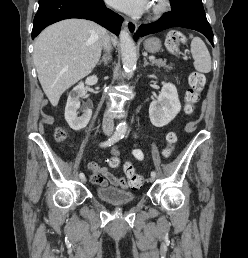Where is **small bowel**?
<instances>
[{
  "mask_svg": "<svg viewBox=\"0 0 248 258\" xmlns=\"http://www.w3.org/2000/svg\"><path fill=\"white\" fill-rule=\"evenodd\" d=\"M133 156L138 160L142 161L144 159V154L139 148H134L133 151ZM88 169L91 171L92 176H91V182L94 185L97 186H106L109 183L113 184L121 189H129L134 187L131 186L130 180L127 181L123 177H117L113 175L110 170L106 167H99L96 163H89L88 164Z\"/></svg>",
  "mask_w": 248,
  "mask_h": 258,
  "instance_id": "1",
  "label": "small bowel"
}]
</instances>
